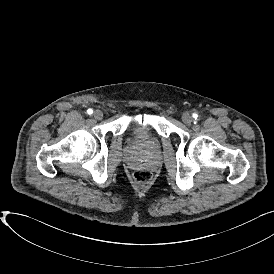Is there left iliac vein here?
<instances>
[{
    "mask_svg": "<svg viewBox=\"0 0 274 274\" xmlns=\"http://www.w3.org/2000/svg\"><path fill=\"white\" fill-rule=\"evenodd\" d=\"M182 121H183L185 124L189 125V124L192 123L193 118H192V116H191L188 112H186V113H184V114L182 115Z\"/></svg>",
    "mask_w": 274,
    "mask_h": 274,
    "instance_id": "left-iliac-vein-1",
    "label": "left iliac vein"
}]
</instances>
